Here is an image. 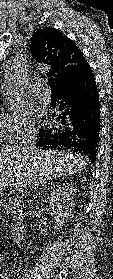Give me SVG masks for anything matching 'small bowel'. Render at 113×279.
Listing matches in <instances>:
<instances>
[{"label": "small bowel", "instance_id": "c3829d8e", "mask_svg": "<svg viewBox=\"0 0 113 279\" xmlns=\"http://www.w3.org/2000/svg\"><path fill=\"white\" fill-rule=\"evenodd\" d=\"M0 279H8V271L6 268H1V277Z\"/></svg>", "mask_w": 113, "mask_h": 279}]
</instances>
